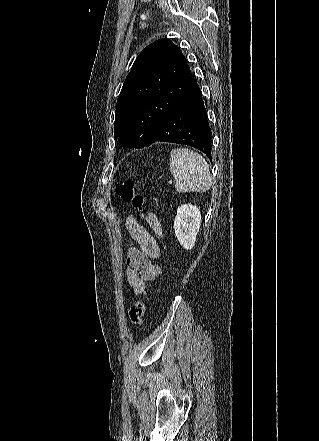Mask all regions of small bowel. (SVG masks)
Instances as JSON below:
<instances>
[{"mask_svg": "<svg viewBox=\"0 0 319 441\" xmlns=\"http://www.w3.org/2000/svg\"><path fill=\"white\" fill-rule=\"evenodd\" d=\"M145 221L156 237L152 236L133 214L126 220L127 230L138 246L128 250L126 271L127 281L136 296L145 293L146 281L154 280L160 274V268L153 260L160 257L157 239L163 236L162 225L153 213H149Z\"/></svg>", "mask_w": 319, "mask_h": 441, "instance_id": "1", "label": "small bowel"}]
</instances>
